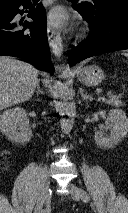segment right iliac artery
Masks as SVG:
<instances>
[{
  "mask_svg": "<svg viewBox=\"0 0 128 213\" xmlns=\"http://www.w3.org/2000/svg\"><path fill=\"white\" fill-rule=\"evenodd\" d=\"M47 212V210H44V213H46Z\"/></svg>",
  "mask_w": 128,
  "mask_h": 213,
  "instance_id": "1",
  "label": "right iliac artery"
}]
</instances>
